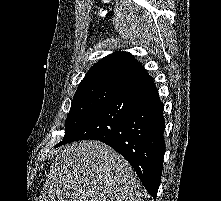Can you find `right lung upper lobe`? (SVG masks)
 <instances>
[{
  "mask_svg": "<svg viewBox=\"0 0 221 201\" xmlns=\"http://www.w3.org/2000/svg\"><path fill=\"white\" fill-rule=\"evenodd\" d=\"M146 74L143 66L127 52H114L91 67L78 89L111 87L121 89Z\"/></svg>",
  "mask_w": 221,
  "mask_h": 201,
  "instance_id": "obj_1",
  "label": "right lung upper lobe"
}]
</instances>
